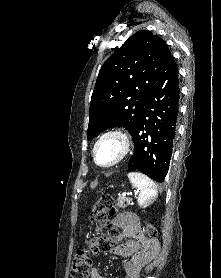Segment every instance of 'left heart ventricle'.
I'll return each instance as SVG.
<instances>
[{
    "instance_id": "b2bd125f",
    "label": "left heart ventricle",
    "mask_w": 221,
    "mask_h": 278,
    "mask_svg": "<svg viewBox=\"0 0 221 278\" xmlns=\"http://www.w3.org/2000/svg\"><path fill=\"white\" fill-rule=\"evenodd\" d=\"M121 153V143L116 137L103 139L96 148V156L99 163L103 165L114 162Z\"/></svg>"
}]
</instances>
